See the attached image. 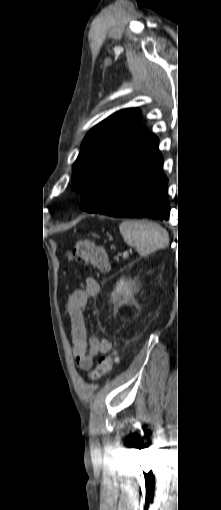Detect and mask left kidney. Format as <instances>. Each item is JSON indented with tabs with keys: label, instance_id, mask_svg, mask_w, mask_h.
I'll return each instance as SVG.
<instances>
[{
	"label": "left kidney",
	"instance_id": "left-kidney-1",
	"mask_svg": "<svg viewBox=\"0 0 221 510\" xmlns=\"http://www.w3.org/2000/svg\"><path fill=\"white\" fill-rule=\"evenodd\" d=\"M137 286L136 280L120 279L111 294V300L120 305L128 303L132 299Z\"/></svg>",
	"mask_w": 221,
	"mask_h": 510
}]
</instances>
